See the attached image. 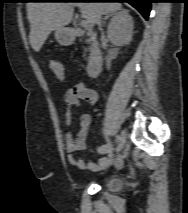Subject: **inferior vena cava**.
<instances>
[{
	"instance_id": "inferior-vena-cava-1",
	"label": "inferior vena cava",
	"mask_w": 188,
	"mask_h": 213,
	"mask_svg": "<svg viewBox=\"0 0 188 213\" xmlns=\"http://www.w3.org/2000/svg\"><path fill=\"white\" fill-rule=\"evenodd\" d=\"M97 24L99 26L101 25V16L100 15L97 16Z\"/></svg>"
}]
</instances>
